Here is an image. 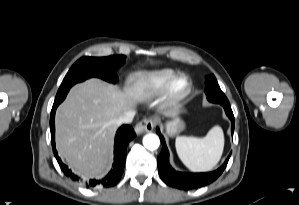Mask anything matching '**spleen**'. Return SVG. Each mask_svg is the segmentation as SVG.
<instances>
[{"label":"spleen","mask_w":299,"mask_h":205,"mask_svg":"<svg viewBox=\"0 0 299 205\" xmlns=\"http://www.w3.org/2000/svg\"><path fill=\"white\" fill-rule=\"evenodd\" d=\"M175 147L180 160L191 171H209L221 159L224 149L223 130L214 126L203 138L178 136Z\"/></svg>","instance_id":"3e777b00"}]
</instances>
